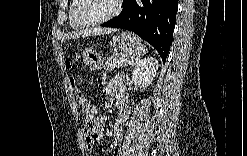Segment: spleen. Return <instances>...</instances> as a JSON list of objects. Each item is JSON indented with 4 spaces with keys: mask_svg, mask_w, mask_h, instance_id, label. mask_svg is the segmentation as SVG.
Listing matches in <instances>:
<instances>
[{
    "mask_svg": "<svg viewBox=\"0 0 247 156\" xmlns=\"http://www.w3.org/2000/svg\"><path fill=\"white\" fill-rule=\"evenodd\" d=\"M143 51H144V52H147V49H146L145 47H143Z\"/></svg>",
    "mask_w": 247,
    "mask_h": 156,
    "instance_id": "obj_1",
    "label": "spleen"
}]
</instances>
